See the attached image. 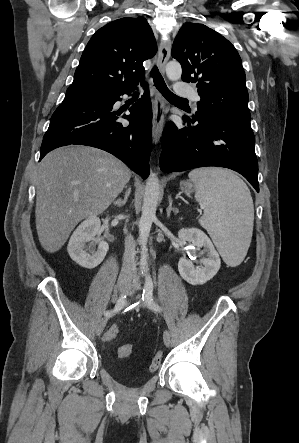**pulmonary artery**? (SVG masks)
I'll use <instances>...</instances> for the list:
<instances>
[{"label": "pulmonary artery", "mask_w": 299, "mask_h": 443, "mask_svg": "<svg viewBox=\"0 0 299 443\" xmlns=\"http://www.w3.org/2000/svg\"><path fill=\"white\" fill-rule=\"evenodd\" d=\"M176 94L181 97H188L194 100L195 102L199 100V96L189 85L183 84V83H177L175 88Z\"/></svg>", "instance_id": "1"}]
</instances>
